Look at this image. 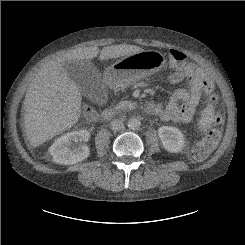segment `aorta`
<instances>
[{
    "instance_id": "1",
    "label": "aorta",
    "mask_w": 245,
    "mask_h": 245,
    "mask_svg": "<svg viewBox=\"0 0 245 245\" xmlns=\"http://www.w3.org/2000/svg\"><path fill=\"white\" fill-rule=\"evenodd\" d=\"M140 126V120L138 118H130L128 120V127L131 129H137Z\"/></svg>"
}]
</instances>
